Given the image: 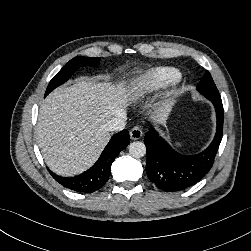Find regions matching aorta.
<instances>
[{
	"label": "aorta",
	"mask_w": 251,
	"mask_h": 251,
	"mask_svg": "<svg viewBox=\"0 0 251 251\" xmlns=\"http://www.w3.org/2000/svg\"><path fill=\"white\" fill-rule=\"evenodd\" d=\"M129 153L134 158H141L146 154V146L140 141L132 142L129 145Z\"/></svg>",
	"instance_id": "aorta-1"
}]
</instances>
